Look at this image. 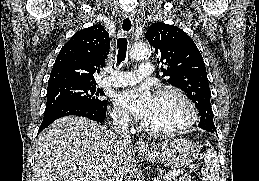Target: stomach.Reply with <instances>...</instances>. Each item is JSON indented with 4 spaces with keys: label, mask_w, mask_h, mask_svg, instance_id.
<instances>
[{
    "label": "stomach",
    "mask_w": 259,
    "mask_h": 181,
    "mask_svg": "<svg viewBox=\"0 0 259 181\" xmlns=\"http://www.w3.org/2000/svg\"><path fill=\"white\" fill-rule=\"evenodd\" d=\"M200 149L190 140L170 138L154 145L140 155L153 163H161L172 169L191 164L198 156Z\"/></svg>",
    "instance_id": "1"
}]
</instances>
